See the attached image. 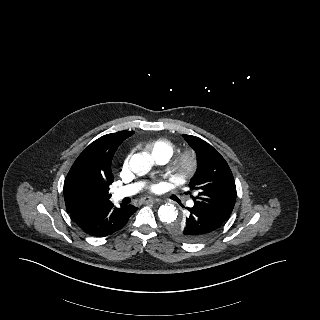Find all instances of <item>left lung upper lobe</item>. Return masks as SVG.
Instances as JSON below:
<instances>
[{
  "instance_id": "left-lung-upper-lobe-1",
  "label": "left lung upper lobe",
  "mask_w": 320,
  "mask_h": 320,
  "mask_svg": "<svg viewBox=\"0 0 320 320\" xmlns=\"http://www.w3.org/2000/svg\"><path fill=\"white\" fill-rule=\"evenodd\" d=\"M184 138L197 153L198 168L189 183L190 189L198 193L191 196L194 205L226 221L236 201V186L227 162L204 140L191 135H184ZM169 230L182 241H198L187 233L184 220L172 222Z\"/></svg>"
}]
</instances>
